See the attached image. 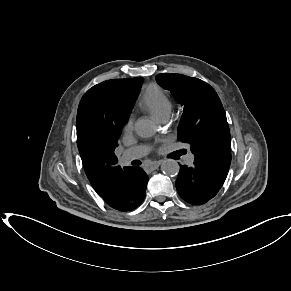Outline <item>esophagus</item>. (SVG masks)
Segmentation results:
<instances>
[{"instance_id":"34e87169","label":"esophagus","mask_w":291,"mask_h":291,"mask_svg":"<svg viewBox=\"0 0 291 291\" xmlns=\"http://www.w3.org/2000/svg\"><path fill=\"white\" fill-rule=\"evenodd\" d=\"M162 161H154L149 164V169L154 170L161 165Z\"/></svg>"}]
</instances>
